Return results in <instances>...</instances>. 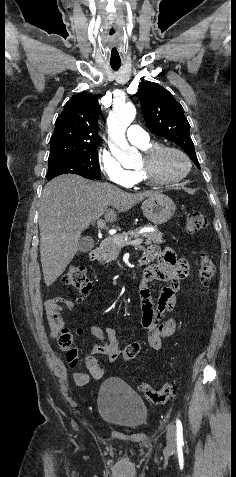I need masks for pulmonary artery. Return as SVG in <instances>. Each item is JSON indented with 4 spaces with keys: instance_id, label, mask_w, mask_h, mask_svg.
Wrapping results in <instances>:
<instances>
[{
    "instance_id": "pulmonary-artery-1",
    "label": "pulmonary artery",
    "mask_w": 236,
    "mask_h": 477,
    "mask_svg": "<svg viewBox=\"0 0 236 477\" xmlns=\"http://www.w3.org/2000/svg\"><path fill=\"white\" fill-rule=\"evenodd\" d=\"M126 135L128 140L137 146H144L150 141L148 133L138 125L129 126Z\"/></svg>"
}]
</instances>
